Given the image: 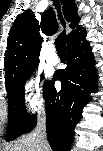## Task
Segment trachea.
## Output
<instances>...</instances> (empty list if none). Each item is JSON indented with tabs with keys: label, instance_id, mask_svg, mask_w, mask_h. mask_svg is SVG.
I'll return each mask as SVG.
<instances>
[{
	"label": "trachea",
	"instance_id": "obj_1",
	"mask_svg": "<svg viewBox=\"0 0 103 151\" xmlns=\"http://www.w3.org/2000/svg\"><path fill=\"white\" fill-rule=\"evenodd\" d=\"M53 1H54V5L56 6V9L58 11L59 19H60L61 23L63 25H65V21H64V19L62 17L60 4H59L58 0H53ZM66 39H67L66 38V34H65V32H63L55 40V46H56V50H57L58 54L66 55V42H67Z\"/></svg>",
	"mask_w": 103,
	"mask_h": 151
}]
</instances>
